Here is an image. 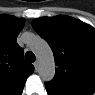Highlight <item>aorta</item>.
<instances>
[{
    "instance_id": "1",
    "label": "aorta",
    "mask_w": 95,
    "mask_h": 95,
    "mask_svg": "<svg viewBox=\"0 0 95 95\" xmlns=\"http://www.w3.org/2000/svg\"><path fill=\"white\" fill-rule=\"evenodd\" d=\"M24 38L36 55L39 76L45 82L51 81L55 75V61L50 46L33 33H25Z\"/></svg>"
}]
</instances>
